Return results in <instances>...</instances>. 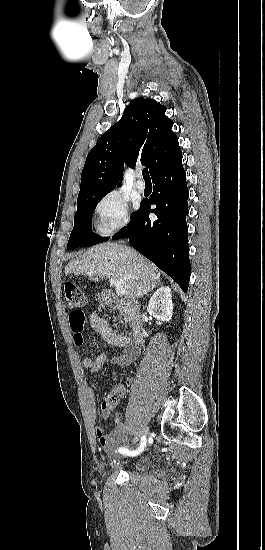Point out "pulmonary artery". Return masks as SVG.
I'll list each match as a JSON object with an SVG mask.
<instances>
[{"mask_svg":"<svg viewBox=\"0 0 265 550\" xmlns=\"http://www.w3.org/2000/svg\"><path fill=\"white\" fill-rule=\"evenodd\" d=\"M138 177H140V174H138ZM135 189L139 193H143L145 191V184L143 181L138 180L135 184Z\"/></svg>","mask_w":265,"mask_h":550,"instance_id":"1","label":"pulmonary artery"}]
</instances>
